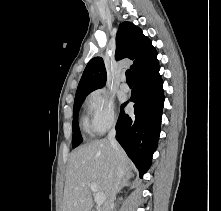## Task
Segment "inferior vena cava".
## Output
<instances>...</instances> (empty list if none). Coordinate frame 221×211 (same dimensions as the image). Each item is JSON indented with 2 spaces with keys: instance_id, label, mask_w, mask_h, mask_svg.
<instances>
[{
  "instance_id": "602c4592",
  "label": "inferior vena cava",
  "mask_w": 221,
  "mask_h": 211,
  "mask_svg": "<svg viewBox=\"0 0 221 211\" xmlns=\"http://www.w3.org/2000/svg\"><path fill=\"white\" fill-rule=\"evenodd\" d=\"M115 136H116V130L113 126L108 134V140L111 143V146L115 152V155L119 156L120 155V146H119ZM121 179H122V169H121L120 164L118 163L117 168H116L115 178L113 179V183L110 188V193H109L108 199L105 202V205H104L102 211H113L114 200L116 198V193H117L118 187L121 183Z\"/></svg>"
}]
</instances>
